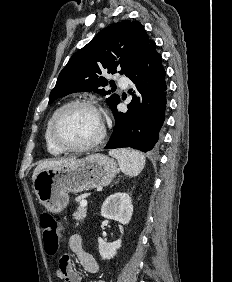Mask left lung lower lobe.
I'll return each instance as SVG.
<instances>
[{"label":"left lung lower lobe","mask_w":232,"mask_h":282,"mask_svg":"<svg viewBox=\"0 0 232 282\" xmlns=\"http://www.w3.org/2000/svg\"><path fill=\"white\" fill-rule=\"evenodd\" d=\"M155 47L151 41L139 63L126 75L134 83L130 89L133 99L126 113L117 111L120 100L111 108L116 124L105 149L131 147L149 152L160 144L167 85L162 57Z\"/></svg>","instance_id":"0a47b994"}]
</instances>
